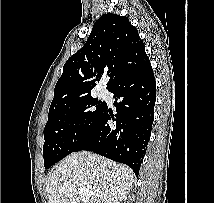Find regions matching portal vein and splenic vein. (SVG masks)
<instances>
[{"mask_svg": "<svg viewBox=\"0 0 214 203\" xmlns=\"http://www.w3.org/2000/svg\"><path fill=\"white\" fill-rule=\"evenodd\" d=\"M78 193H79V196H80V199L82 200V201H86V200H88V198H89V196H90V192L87 190V189H85V188H80L79 190H78Z\"/></svg>", "mask_w": 214, "mask_h": 203, "instance_id": "18ae733b", "label": "portal vein and splenic vein"}]
</instances>
